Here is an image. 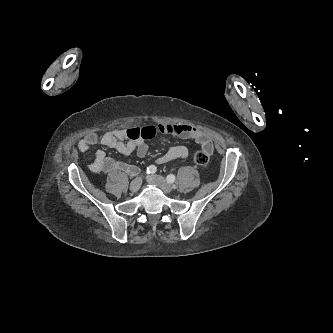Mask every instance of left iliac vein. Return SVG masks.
<instances>
[{
  "instance_id": "obj_1",
  "label": "left iliac vein",
  "mask_w": 333,
  "mask_h": 333,
  "mask_svg": "<svg viewBox=\"0 0 333 333\" xmlns=\"http://www.w3.org/2000/svg\"><path fill=\"white\" fill-rule=\"evenodd\" d=\"M146 179L148 183L160 187L165 193H169L173 189V186L160 175H149Z\"/></svg>"
}]
</instances>
